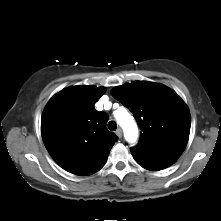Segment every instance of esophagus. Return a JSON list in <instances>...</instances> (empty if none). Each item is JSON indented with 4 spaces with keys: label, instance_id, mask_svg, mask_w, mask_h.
Masks as SVG:
<instances>
[{
    "label": "esophagus",
    "instance_id": "34e87169",
    "mask_svg": "<svg viewBox=\"0 0 221 221\" xmlns=\"http://www.w3.org/2000/svg\"><path fill=\"white\" fill-rule=\"evenodd\" d=\"M116 135H117L118 138H121V137H122V130H121V128H118V129L116 130Z\"/></svg>",
    "mask_w": 221,
    "mask_h": 221
}]
</instances>
